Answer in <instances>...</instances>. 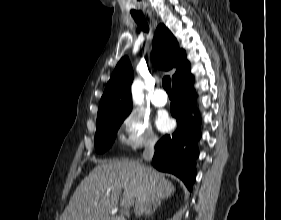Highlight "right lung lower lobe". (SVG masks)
Wrapping results in <instances>:
<instances>
[{
    "instance_id": "98d812e1",
    "label": "right lung lower lobe",
    "mask_w": 281,
    "mask_h": 220,
    "mask_svg": "<svg viewBox=\"0 0 281 220\" xmlns=\"http://www.w3.org/2000/svg\"><path fill=\"white\" fill-rule=\"evenodd\" d=\"M193 79L173 86L171 114L177 120V129L172 135H165L158 141L152 160L153 166L163 172L179 177L189 191L195 182V159L199 155L197 141L201 137L200 117L195 109Z\"/></svg>"
}]
</instances>
